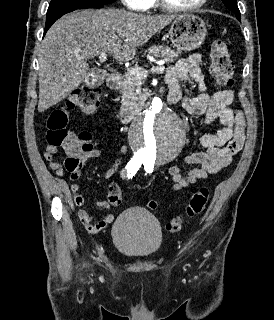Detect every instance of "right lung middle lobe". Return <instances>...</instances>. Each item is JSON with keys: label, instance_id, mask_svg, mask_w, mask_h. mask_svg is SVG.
<instances>
[{"label": "right lung middle lobe", "instance_id": "right-lung-middle-lobe-1", "mask_svg": "<svg viewBox=\"0 0 274 320\" xmlns=\"http://www.w3.org/2000/svg\"><path fill=\"white\" fill-rule=\"evenodd\" d=\"M115 1L116 0H51L48 7L47 16L66 9L93 5H105Z\"/></svg>", "mask_w": 274, "mask_h": 320}]
</instances>
